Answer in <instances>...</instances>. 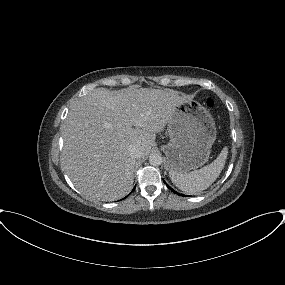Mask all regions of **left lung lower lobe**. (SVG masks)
Returning a JSON list of instances; mask_svg holds the SVG:
<instances>
[{
    "mask_svg": "<svg viewBox=\"0 0 285 285\" xmlns=\"http://www.w3.org/2000/svg\"><path fill=\"white\" fill-rule=\"evenodd\" d=\"M164 183L166 184V182L164 181ZM166 186L169 188V189H171L174 193H176V194H178V195H181V196H183L182 194H179V193H177L175 190H173L170 186H168L167 184H166Z\"/></svg>",
    "mask_w": 285,
    "mask_h": 285,
    "instance_id": "left-lung-lower-lobe-1",
    "label": "left lung lower lobe"
}]
</instances>
